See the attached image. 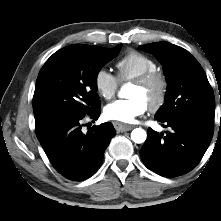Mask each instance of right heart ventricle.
<instances>
[{"label": "right heart ventricle", "mask_w": 221, "mask_h": 221, "mask_svg": "<svg viewBox=\"0 0 221 221\" xmlns=\"http://www.w3.org/2000/svg\"><path fill=\"white\" fill-rule=\"evenodd\" d=\"M116 69L118 80L127 82L147 72L158 70V63L143 53L130 51L116 63Z\"/></svg>", "instance_id": "right-heart-ventricle-1"}]
</instances>
